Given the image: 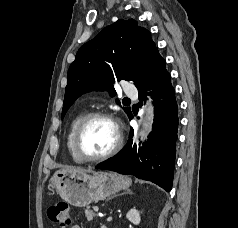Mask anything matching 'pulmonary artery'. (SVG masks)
<instances>
[{
    "instance_id": "obj_1",
    "label": "pulmonary artery",
    "mask_w": 238,
    "mask_h": 228,
    "mask_svg": "<svg viewBox=\"0 0 238 228\" xmlns=\"http://www.w3.org/2000/svg\"><path fill=\"white\" fill-rule=\"evenodd\" d=\"M124 92L126 95L132 96L137 93V89L133 85H126L124 88Z\"/></svg>"
}]
</instances>
